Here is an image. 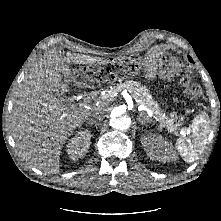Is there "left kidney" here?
Instances as JSON below:
<instances>
[{
  "instance_id": "obj_1",
  "label": "left kidney",
  "mask_w": 221,
  "mask_h": 221,
  "mask_svg": "<svg viewBox=\"0 0 221 221\" xmlns=\"http://www.w3.org/2000/svg\"><path fill=\"white\" fill-rule=\"evenodd\" d=\"M142 145L148 156L153 160L166 162L175 159L171 145L162 136H144L142 137Z\"/></svg>"
}]
</instances>
